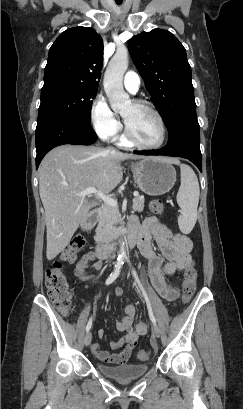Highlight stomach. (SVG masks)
Returning a JSON list of instances; mask_svg holds the SVG:
<instances>
[{"instance_id": "obj_1", "label": "stomach", "mask_w": 243, "mask_h": 409, "mask_svg": "<svg viewBox=\"0 0 243 409\" xmlns=\"http://www.w3.org/2000/svg\"><path fill=\"white\" fill-rule=\"evenodd\" d=\"M133 178L145 194L160 196L169 192L176 182V171L171 160L146 157L131 164Z\"/></svg>"}]
</instances>
